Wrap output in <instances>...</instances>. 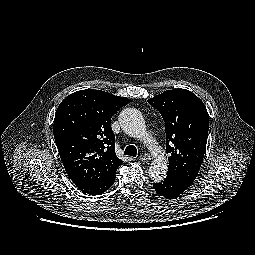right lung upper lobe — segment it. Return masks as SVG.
Here are the masks:
<instances>
[{
  "mask_svg": "<svg viewBox=\"0 0 255 255\" xmlns=\"http://www.w3.org/2000/svg\"><path fill=\"white\" fill-rule=\"evenodd\" d=\"M124 97L85 89L67 96L55 113L53 133L60 158L76 186L102 183L123 163L115 154L112 116Z\"/></svg>",
  "mask_w": 255,
  "mask_h": 255,
  "instance_id": "obj_1",
  "label": "right lung upper lobe"
}]
</instances>
